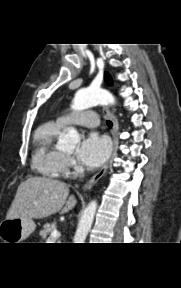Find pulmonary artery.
Wrapping results in <instances>:
<instances>
[{
    "mask_svg": "<svg viewBox=\"0 0 181 288\" xmlns=\"http://www.w3.org/2000/svg\"><path fill=\"white\" fill-rule=\"evenodd\" d=\"M58 122L62 126H67L69 124H75L80 127L95 128L98 126V116L93 111H86L79 115L73 116H63L58 119Z\"/></svg>",
    "mask_w": 181,
    "mask_h": 288,
    "instance_id": "obj_1",
    "label": "pulmonary artery"
}]
</instances>
